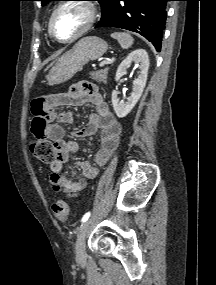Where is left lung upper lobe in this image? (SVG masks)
Masks as SVG:
<instances>
[{
  "mask_svg": "<svg viewBox=\"0 0 216 285\" xmlns=\"http://www.w3.org/2000/svg\"><path fill=\"white\" fill-rule=\"evenodd\" d=\"M42 2V5H46L50 1H55V0H40ZM98 1L101 5V10H102V16H104L111 8V5L114 0H95ZM101 16V17H102Z\"/></svg>",
  "mask_w": 216,
  "mask_h": 285,
  "instance_id": "1",
  "label": "left lung upper lobe"
}]
</instances>
